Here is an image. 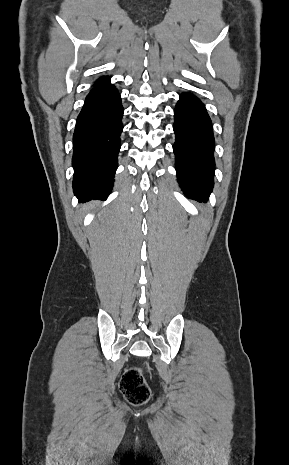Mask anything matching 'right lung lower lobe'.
Segmentation results:
<instances>
[{"mask_svg": "<svg viewBox=\"0 0 289 465\" xmlns=\"http://www.w3.org/2000/svg\"><path fill=\"white\" fill-rule=\"evenodd\" d=\"M123 107L114 85L95 84L85 99L73 135V190L79 201L106 199L118 167Z\"/></svg>", "mask_w": 289, "mask_h": 465, "instance_id": "1", "label": "right lung lower lobe"}]
</instances>
